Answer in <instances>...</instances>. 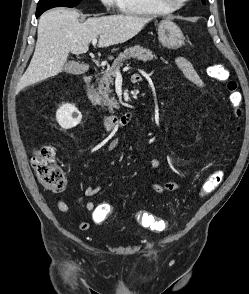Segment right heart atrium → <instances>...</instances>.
Returning a JSON list of instances; mask_svg holds the SVG:
<instances>
[{
    "label": "right heart atrium",
    "mask_w": 249,
    "mask_h": 294,
    "mask_svg": "<svg viewBox=\"0 0 249 294\" xmlns=\"http://www.w3.org/2000/svg\"><path fill=\"white\" fill-rule=\"evenodd\" d=\"M102 3L107 7V8H111L114 5H116V0H101Z\"/></svg>",
    "instance_id": "right-heart-atrium-1"
}]
</instances>
